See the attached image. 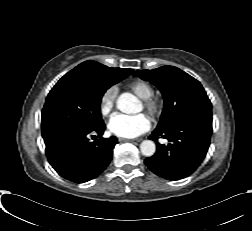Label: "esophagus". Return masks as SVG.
<instances>
[{"label":"esophagus","mask_w":252,"mask_h":231,"mask_svg":"<svg viewBox=\"0 0 252 231\" xmlns=\"http://www.w3.org/2000/svg\"><path fill=\"white\" fill-rule=\"evenodd\" d=\"M119 142H133L134 140L126 139V138H119Z\"/></svg>","instance_id":"34e87169"}]
</instances>
